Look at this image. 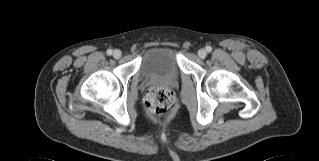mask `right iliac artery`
I'll list each match as a JSON object with an SVG mask.
<instances>
[{
    "label": "right iliac artery",
    "mask_w": 319,
    "mask_h": 161,
    "mask_svg": "<svg viewBox=\"0 0 319 161\" xmlns=\"http://www.w3.org/2000/svg\"><path fill=\"white\" fill-rule=\"evenodd\" d=\"M107 55H112V50L111 49L107 50Z\"/></svg>",
    "instance_id": "obj_1"
}]
</instances>
